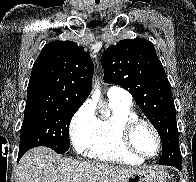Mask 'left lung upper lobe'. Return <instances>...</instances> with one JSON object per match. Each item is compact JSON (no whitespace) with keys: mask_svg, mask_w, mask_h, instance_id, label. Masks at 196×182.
Wrapping results in <instances>:
<instances>
[{"mask_svg":"<svg viewBox=\"0 0 196 182\" xmlns=\"http://www.w3.org/2000/svg\"><path fill=\"white\" fill-rule=\"evenodd\" d=\"M101 63L105 69L104 81L132 94L158 131L162 146L173 148L180 154L181 161L171 86L153 44L143 38L121 40L104 51Z\"/></svg>","mask_w":196,"mask_h":182,"instance_id":"left-lung-upper-lobe-1","label":"left lung upper lobe"}]
</instances>
